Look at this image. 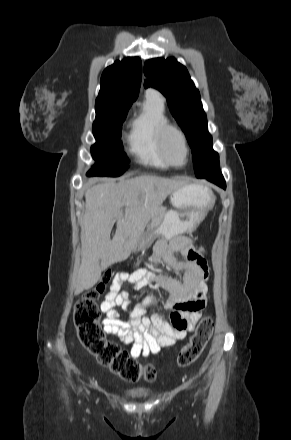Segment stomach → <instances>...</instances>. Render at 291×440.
<instances>
[{
	"instance_id": "0dacf381",
	"label": "stomach",
	"mask_w": 291,
	"mask_h": 440,
	"mask_svg": "<svg viewBox=\"0 0 291 440\" xmlns=\"http://www.w3.org/2000/svg\"><path fill=\"white\" fill-rule=\"evenodd\" d=\"M170 201L175 209L167 212L157 231L166 238L194 229L214 207L216 197L209 187L186 182L170 193ZM153 236H144L142 247L149 245Z\"/></svg>"
}]
</instances>
